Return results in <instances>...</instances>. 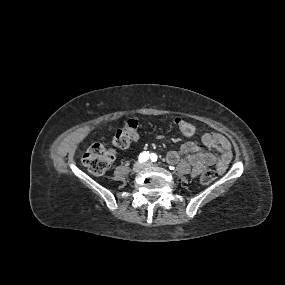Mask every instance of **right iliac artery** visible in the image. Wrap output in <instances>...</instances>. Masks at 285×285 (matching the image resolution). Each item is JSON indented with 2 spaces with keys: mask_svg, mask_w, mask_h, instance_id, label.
Here are the masks:
<instances>
[{
  "mask_svg": "<svg viewBox=\"0 0 285 285\" xmlns=\"http://www.w3.org/2000/svg\"><path fill=\"white\" fill-rule=\"evenodd\" d=\"M149 156H150L149 152L148 151H144V152L140 153V155L138 157V161L140 163L145 162V161H147L149 159Z\"/></svg>",
  "mask_w": 285,
  "mask_h": 285,
  "instance_id": "82829eb1",
  "label": "right iliac artery"
}]
</instances>
